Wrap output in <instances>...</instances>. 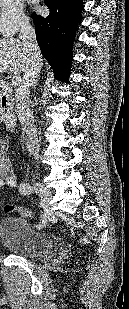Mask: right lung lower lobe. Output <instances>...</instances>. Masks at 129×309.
I'll use <instances>...</instances> for the list:
<instances>
[{"label":"right lung lower lobe","instance_id":"obj_1","mask_svg":"<svg viewBox=\"0 0 129 309\" xmlns=\"http://www.w3.org/2000/svg\"><path fill=\"white\" fill-rule=\"evenodd\" d=\"M50 9L44 18L34 15L36 39L56 78L68 80L72 44L81 18L82 0H44ZM65 33V34H62Z\"/></svg>","mask_w":129,"mask_h":309}]
</instances>
